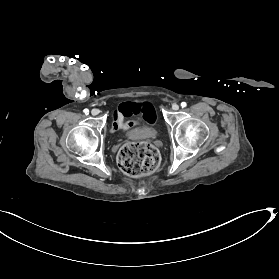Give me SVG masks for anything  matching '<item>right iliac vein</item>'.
I'll return each instance as SVG.
<instances>
[{"mask_svg":"<svg viewBox=\"0 0 279 279\" xmlns=\"http://www.w3.org/2000/svg\"><path fill=\"white\" fill-rule=\"evenodd\" d=\"M91 114H92L93 116H96V115L99 114V110L96 109V108H94V109L91 110Z\"/></svg>","mask_w":279,"mask_h":279,"instance_id":"right-iliac-vein-1","label":"right iliac vein"}]
</instances>
